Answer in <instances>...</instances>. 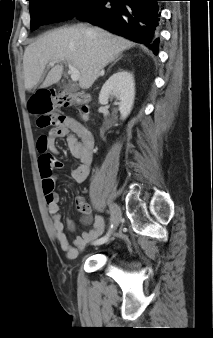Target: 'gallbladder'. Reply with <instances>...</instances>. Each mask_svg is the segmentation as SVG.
Wrapping results in <instances>:
<instances>
[{"label":"gallbladder","mask_w":213,"mask_h":338,"mask_svg":"<svg viewBox=\"0 0 213 338\" xmlns=\"http://www.w3.org/2000/svg\"><path fill=\"white\" fill-rule=\"evenodd\" d=\"M63 88H64L66 91H73V90H74V88L71 87V86H69V85H64Z\"/></svg>","instance_id":"obj_1"}]
</instances>
